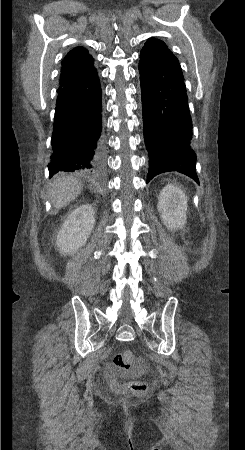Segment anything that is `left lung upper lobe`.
<instances>
[{"label":"left lung upper lobe","instance_id":"1","mask_svg":"<svg viewBox=\"0 0 245 450\" xmlns=\"http://www.w3.org/2000/svg\"><path fill=\"white\" fill-rule=\"evenodd\" d=\"M140 61L154 64L164 62L170 64L175 70H177L182 76V69L178 59L167 48L164 42L150 38L142 48L140 52Z\"/></svg>","mask_w":245,"mask_h":450}]
</instances>
